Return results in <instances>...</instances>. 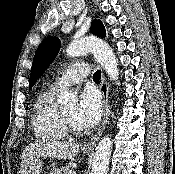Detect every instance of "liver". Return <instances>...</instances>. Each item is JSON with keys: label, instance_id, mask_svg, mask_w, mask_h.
I'll list each match as a JSON object with an SVG mask.
<instances>
[{"label": "liver", "instance_id": "6515ba94", "mask_svg": "<svg viewBox=\"0 0 175 174\" xmlns=\"http://www.w3.org/2000/svg\"><path fill=\"white\" fill-rule=\"evenodd\" d=\"M79 145L71 142L40 141L30 143L22 152V161L35 157H52L57 159H71L77 155Z\"/></svg>", "mask_w": 175, "mask_h": 174}]
</instances>
